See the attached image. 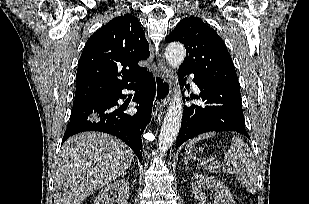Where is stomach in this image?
Returning <instances> with one entry per match:
<instances>
[{"label": "stomach", "mask_w": 309, "mask_h": 204, "mask_svg": "<svg viewBox=\"0 0 309 204\" xmlns=\"http://www.w3.org/2000/svg\"><path fill=\"white\" fill-rule=\"evenodd\" d=\"M190 149H191V148H187V151L190 152Z\"/></svg>", "instance_id": "0dacf381"}]
</instances>
